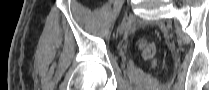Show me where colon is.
Here are the masks:
<instances>
[{"label":"colon","mask_w":209,"mask_h":90,"mask_svg":"<svg viewBox=\"0 0 209 90\" xmlns=\"http://www.w3.org/2000/svg\"><path fill=\"white\" fill-rule=\"evenodd\" d=\"M139 49L144 60L156 64L157 47L153 42L143 39L139 42Z\"/></svg>","instance_id":"5ec220e1"}]
</instances>
